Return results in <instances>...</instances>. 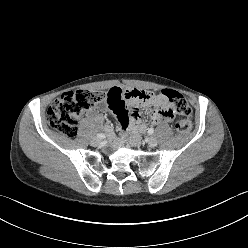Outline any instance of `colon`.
<instances>
[{"instance_id":"obj_1","label":"colon","mask_w":248,"mask_h":248,"mask_svg":"<svg viewBox=\"0 0 248 248\" xmlns=\"http://www.w3.org/2000/svg\"><path fill=\"white\" fill-rule=\"evenodd\" d=\"M105 93L94 90H73L63 93L47 111L48 124L64 136L74 137L77 134L78 118L84 111L106 100ZM162 93L169 101L168 112H176L181 116L176 123L177 131L181 134L187 133L192 124L191 109L187 100L175 90L166 89Z\"/></svg>"}]
</instances>
